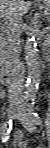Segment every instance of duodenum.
<instances>
[{
	"label": "duodenum",
	"instance_id": "410a0bca",
	"mask_svg": "<svg viewBox=\"0 0 50 148\" xmlns=\"http://www.w3.org/2000/svg\"><path fill=\"white\" fill-rule=\"evenodd\" d=\"M13 81V77L5 68H2L1 71V83L4 85H8Z\"/></svg>",
	"mask_w": 50,
	"mask_h": 148
}]
</instances>
